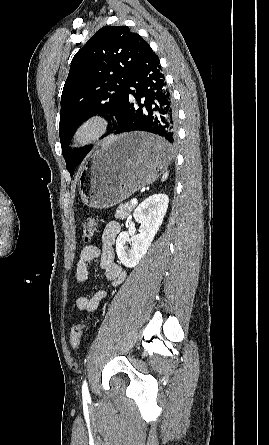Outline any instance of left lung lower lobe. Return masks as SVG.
<instances>
[{
    "instance_id": "0a47b994",
    "label": "left lung lower lobe",
    "mask_w": 269,
    "mask_h": 445,
    "mask_svg": "<svg viewBox=\"0 0 269 445\" xmlns=\"http://www.w3.org/2000/svg\"><path fill=\"white\" fill-rule=\"evenodd\" d=\"M131 96L136 99V104L131 101ZM130 131H145L160 137L158 143L145 147L151 154L171 153L176 141V109L159 58L150 46L145 49L128 81L119 127L114 134Z\"/></svg>"
}]
</instances>
